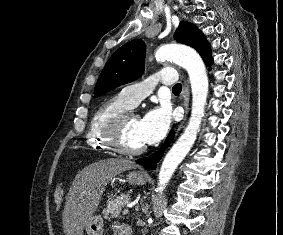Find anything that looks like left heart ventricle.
Here are the masks:
<instances>
[{"instance_id":"left-heart-ventricle-1","label":"left heart ventricle","mask_w":283,"mask_h":235,"mask_svg":"<svg viewBox=\"0 0 283 235\" xmlns=\"http://www.w3.org/2000/svg\"><path fill=\"white\" fill-rule=\"evenodd\" d=\"M122 144L129 149L139 148L144 145L139 132V117L132 115L126 121L122 133H121Z\"/></svg>"}]
</instances>
